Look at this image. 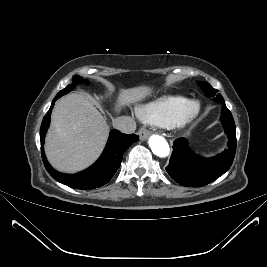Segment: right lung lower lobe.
<instances>
[{"mask_svg": "<svg viewBox=\"0 0 267 267\" xmlns=\"http://www.w3.org/2000/svg\"><path fill=\"white\" fill-rule=\"evenodd\" d=\"M58 98H60L58 95L54 98L49 111L46 113V116L42 121L40 129L41 145L44 144V137L50 122V114L54 102ZM138 138L139 137L135 134L125 135L117 130H112L107 145L97 162L77 174H64L54 170L46 159L43 147H41L42 158L49 174L60 183L76 189H95L105 185L111 180L121 165L124 152L132 143L136 142Z\"/></svg>", "mask_w": 267, "mask_h": 267, "instance_id": "98d812e1", "label": "right lung lower lobe"}]
</instances>
